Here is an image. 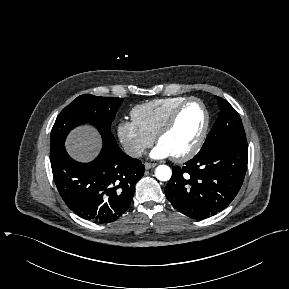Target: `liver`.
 <instances>
[{
  "instance_id": "liver-1",
  "label": "liver",
  "mask_w": 289,
  "mask_h": 289,
  "mask_svg": "<svg viewBox=\"0 0 289 289\" xmlns=\"http://www.w3.org/2000/svg\"><path fill=\"white\" fill-rule=\"evenodd\" d=\"M65 147L73 159L88 162L98 154L101 148V137L94 127L80 126L69 134Z\"/></svg>"
}]
</instances>
